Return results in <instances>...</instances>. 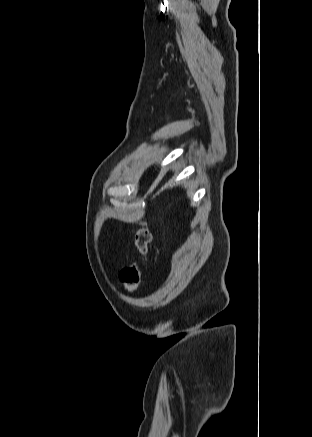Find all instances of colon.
<instances>
[{"label":"colon","instance_id":"1","mask_svg":"<svg viewBox=\"0 0 312 437\" xmlns=\"http://www.w3.org/2000/svg\"><path fill=\"white\" fill-rule=\"evenodd\" d=\"M150 242L151 233L147 225L143 224L135 234L136 257L129 265L122 268L119 273V280L127 291H134L140 284L142 265L146 260Z\"/></svg>","mask_w":312,"mask_h":437}]
</instances>
